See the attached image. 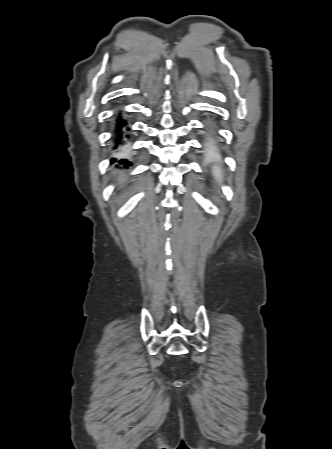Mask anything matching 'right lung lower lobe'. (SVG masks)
<instances>
[{
    "label": "right lung lower lobe",
    "instance_id": "98d812e1",
    "mask_svg": "<svg viewBox=\"0 0 332 449\" xmlns=\"http://www.w3.org/2000/svg\"><path fill=\"white\" fill-rule=\"evenodd\" d=\"M113 133V150L117 152L131 137L128 122L125 117H122L121 112H118L115 115V125ZM121 162L125 164L129 163L126 159H122Z\"/></svg>",
    "mask_w": 332,
    "mask_h": 449
}]
</instances>
